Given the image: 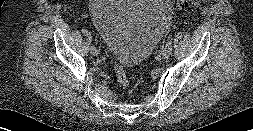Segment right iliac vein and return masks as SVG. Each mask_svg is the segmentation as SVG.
I'll list each match as a JSON object with an SVG mask.
<instances>
[{"mask_svg": "<svg viewBox=\"0 0 253 131\" xmlns=\"http://www.w3.org/2000/svg\"><path fill=\"white\" fill-rule=\"evenodd\" d=\"M90 51H91V54H92V55H97V54H98V50H97V48H96V50H95V51H92L91 49H90Z\"/></svg>", "mask_w": 253, "mask_h": 131, "instance_id": "63e3f726", "label": "right iliac vein"}]
</instances>
